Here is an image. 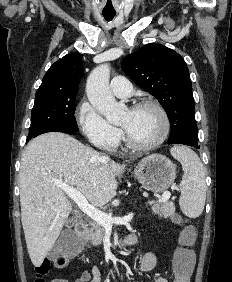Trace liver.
I'll list each match as a JSON object with an SVG mask.
<instances>
[{"instance_id":"6515ba94","label":"liver","mask_w":232,"mask_h":282,"mask_svg":"<svg viewBox=\"0 0 232 282\" xmlns=\"http://www.w3.org/2000/svg\"><path fill=\"white\" fill-rule=\"evenodd\" d=\"M124 168L67 134L49 132L29 142L21 159L20 204L34 266L42 264L72 210L57 184L79 190L91 205L101 207L115 197Z\"/></svg>"}]
</instances>
